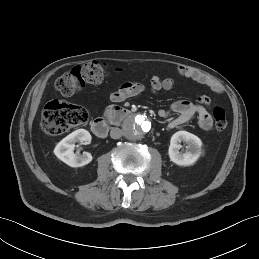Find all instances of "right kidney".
<instances>
[{
  "instance_id": "obj_1",
  "label": "right kidney",
  "mask_w": 259,
  "mask_h": 259,
  "mask_svg": "<svg viewBox=\"0 0 259 259\" xmlns=\"http://www.w3.org/2000/svg\"><path fill=\"white\" fill-rule=\"evenodd\" d=\"M78 141L89 144L91 142L90 133L85 129H78L72 132L56 145L54 154L71 167H81L90 163L92 161V155L90 153H74L75 143Z\"/></svg>"
}]
</instances>
